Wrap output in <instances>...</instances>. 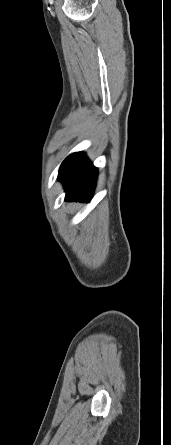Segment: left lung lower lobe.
I'll use <instances>...</instances> for the list:
<instances>
[{"label":"left lung lower lobe","instance_id":"obj_1","mask_svg":"<svg viewBox=\"0 0 171 445\" xmlns=\"http://www.w3.org/2000/svg\"><path fill=\"white\" fill-rule=\"evenodd\" d=\"M58 177L66 188V199L89 201L96 184L97 168L83 152H78L63 161Z\"/></svg>","mask_w":171,"mask_h":445}]
</instances>
